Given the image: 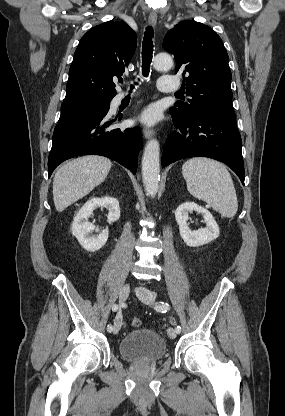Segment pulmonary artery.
<instances>
[{
  "mask_svg": "<svg viewBox=\"0 0 285 416\" xmlns=\"http://www.w3.org/2000/svg\"><path fill=\"white\" fill-rule=\"evenodd\" d=\"M173 80V83H168ZM158 87L163 92H169L170 95H175L176 90L180 87V81L175 79L174 76L163 75L158 80ZM125 98V94L119 93L112 100V108L115 109L119 106L121 101Z\"/></svg>",
  "mask_w": 285,
  "mask_h": 416,
  "instance_id": "pulmonary-artery-1",
  "label": "pulmonary artery"
}]
</instances>
